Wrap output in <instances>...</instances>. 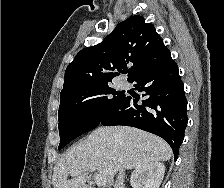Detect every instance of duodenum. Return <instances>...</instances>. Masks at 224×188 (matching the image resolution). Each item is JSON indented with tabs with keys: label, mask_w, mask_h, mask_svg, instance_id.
<instances>
[{
	"label": "duodenum",
	"mask_w": 224,
	"mask_h": 188,
	"mask_svg": "<svg viewBox=\"0 0 224 188\" xmlns=\"http://www.w3.org/2000/svg\"><path fill=\"white\" fill-rule=\"evenodd\" d=\"M84 188H94L93 186H86V187H84Z\"/></svg>",
	"instance_id": "duodenum-1"
}]
</instances>
